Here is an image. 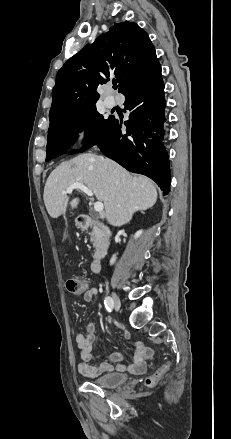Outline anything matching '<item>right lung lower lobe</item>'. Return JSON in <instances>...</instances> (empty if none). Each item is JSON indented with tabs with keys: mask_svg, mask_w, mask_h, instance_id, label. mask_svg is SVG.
<instances>
[{
	"mask_svg": "<svg viewBox=\"0 0 231 439\" xmlns=\"http://www.w3.org/2000/svg\"><path fill=\"white\" fill-rule=\"evenodd\" d=\"M124 122L112 118L108 130L97 144L101 152L127 170L153 179L164 195L170 190V168L164 147V84L161 75L125 95Z\"/></svg>",
	"mask_w": 231,
	"mask_h": 439,
	"instance_id": "obj_1",
	"label": "right lung lower lobe"
}]
</instances>
